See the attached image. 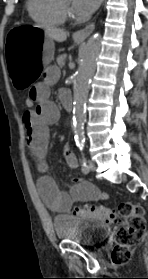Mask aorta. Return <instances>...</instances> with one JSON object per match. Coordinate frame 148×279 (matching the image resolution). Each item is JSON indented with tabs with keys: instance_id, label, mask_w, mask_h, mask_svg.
<instances>
[{
	"instance_id": "aorta-1",
	"label": "aorta",
	"mask_w": 148,
	"mask_h": 279,
	"mask_svg": "<svg viewBox=\"0 0 148 279\" xmlns=\"http://www.w3.org/2000/svg\"><path fill=\"white\" fill-rule=\"evenodd\" d=\"M101 49V39L96 34L89 38L82 52L78 67L73 95V124L77 143H83V125L85 122V105L88 96L89 83L96 69L97 57Z\"/></svg>"
}]
</instances>
